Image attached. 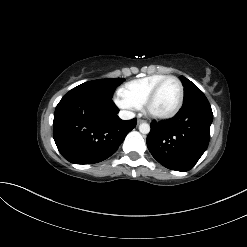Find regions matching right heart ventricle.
<instances>
[{
    "mask_svg": "<svg viewBox=\"0 0 247 247\" xmlns=\"http://www.w3.org/2000/svg\"><path fill=\"white\" fill-rule=\"evenodd\" d=\"M166 76L165 74H153L132 80L121 88V94L136 106L141 107L154 86Z\"/></svg>",
    "mask_w": 247,
    "mask_h": 247,
    "instance_id": "e07e8e85",
    "label": "right heart ventricle"
}]
</instances>
